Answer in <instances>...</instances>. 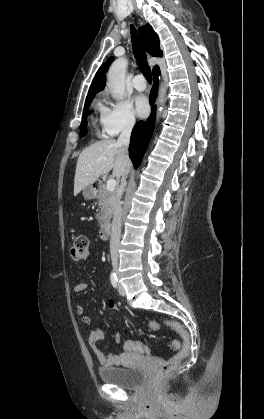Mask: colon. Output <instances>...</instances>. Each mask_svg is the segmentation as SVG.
Returning <instances> with one entry per match:
<instances>
[{"instance_id":"obj_1","label":"colon","mask_w":264,"mask_h":419,"mask_svg":"<svg viewBox=\"0 0 264 419\" xmlns=\"http://www.w3.org/2000/svg\"><path fill=\"white\" fill-rule=\"evenodd\" d=\"M89 256V240L86 236H77L74 240L71 248V257L76 262H83L88 259ZM166 325L177 331L182 339V343L178 340H174L171 344L173 350L177 351V354L171 359L164 362L159 370L158 378H163L175 371L179 363L188 355L191 346L190 335L179 323L177 322H166ZM160 327L158 321L152 320L149 322V328L152 331H157ZM132 349H136L142 353L148 351V347L140 342H135L130 346ZM148 348V349H147ZM150 352V351H149Z\"/></svg>"}]
</instances>
